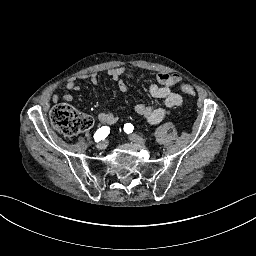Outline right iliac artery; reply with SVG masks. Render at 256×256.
<instances>
[{"instance_id": "1", "label": "right iliac artery", "mask_w": 256, "mask_h": 256, "mask_svg": "<svg viewBox=\"0 0 256 256\" xmlns=\"http://www.w3.org/2000/svg\"><path fill=\"white\" fill-rule=\"evenodd\" d=\"M109 133H110V128L107 126H102L94 134L95 142H99L100 140L105 139Z\"/></svg>"}]
</instances>
